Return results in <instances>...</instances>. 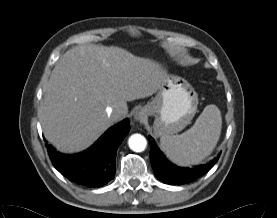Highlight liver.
Wrapping results in <instances>:
<instances>
[{
    "label": "liver",
    "instance_id": "1",
    "mask_svg": "<svg viewBox=\"0 0 277 218\" xmlns=\"http://www.w3.org/2000/svg\"><path fill=\"white\" fill-rule=\"evenodd\" d=\"M165 77L157 62L119 47L69 49L44 87L39 109L44 135L61 152L82 151L127 115V101L153 95ZM107 107L123 116L108 117Z\"/></svg>",
    "mask_w": 277,
    "mask_h": 218
}]
</instances>
